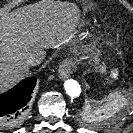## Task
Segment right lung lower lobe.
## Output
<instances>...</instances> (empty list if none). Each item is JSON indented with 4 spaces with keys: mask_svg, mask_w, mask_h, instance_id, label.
I'll list each match as a JSON object with an SVG mask.
<instances>
[{
    "mask_svg": "<svg viewBox=\"0 0 133 133\" xmlns=\"http://www.w3.org/2000/svg\"><path fill=\"white\" fill-rule=\"evenodd\" d=\"M36 78H26L9 91L0 94V126L20 124L29 108Z\"/></svg>",
    "mask_w": 133,
    "mask_h": 133,
    "instance_id": "right-lung-lower-lobe-1",
    "label": "right lung lower lobe"
}]
</instances>
